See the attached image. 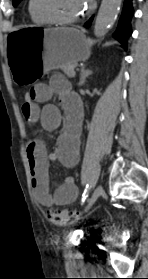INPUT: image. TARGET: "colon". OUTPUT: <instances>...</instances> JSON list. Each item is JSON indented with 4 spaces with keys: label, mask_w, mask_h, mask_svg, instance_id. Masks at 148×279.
<instances>
[{
    "label": "colon",
    "mask_w": 148,
    "mask_h": 279,
    "mask_svg": "<svg viewBox=\"0 0 148 279\" xmlns=\"http://www.w3.org/2000/svg\"><path fill=\"white\" fill-rule=\"evenodd\" d=\"M33 98H34V94L32 88L27 89L24 93V103L30 104L33 101ZM45 215L46 218L54 224H64L70 219L74 218L77 215V213L68 209H64V210L48 209L45 212Z\"/></svg>",
    "instance_id": "obj_1"
}]
</instances>
